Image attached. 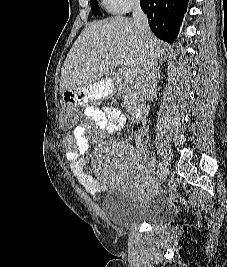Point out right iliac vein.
Masks as SVG:
<instances>
[{"label":"right iliac vein","instance_id":"right-iliac-vein-1","mask_svg":"<svg viewBox=\"0 0 227 267\" xmlns=\"http://www.w3.org/2000/svg\"><path fill=\"white\" fill-rule=\"evenodd\" d=\"M160 174L158 175V184H161L166 180L168 168L163 160L159 163Z\"/></svg>","mask_w":227,"mask_h":267}]
</instances>
